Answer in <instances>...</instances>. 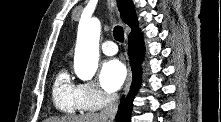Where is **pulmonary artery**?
<instances>
[{
    "mask_svg": "<svg viewBox=\"0 0 221 122\" xmlns=\"http://www.w3.org/2000/svg\"><path fill=\"white\" fill-rule=\"evenodd\" d=\"M101 49L106 55H114L117 53L118 48L113 41H105L101 45Z\"/></svg>",
    "mask_w": 221,
    "mask_h": 122,
    "instance_id": "pulmonary-artery-1",
    "label": "pulmonary artery"
}]
</instances>
